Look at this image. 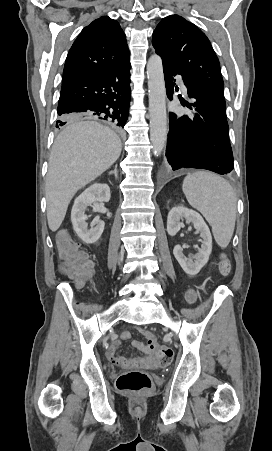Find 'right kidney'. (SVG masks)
Here are the masks:
<instances>
[{
    "label": "right kidney",
    "mask_w": 272,
    "mask_h": 451,
    "mask_svg": "<svg viewBox=\"0 0 272 451\" xmlns=\"http://www.w3.org/2000/svg\"><path fill=\"white\" fill-rule=\"evenodd\" d=\"M111 198L110 188L107 184H93L90 188H87L85 192H82L74 202V206L71 210V222L73 229H75L77 235L85 241V243H94L99 239L103 229L104 222L99 218H94L90 229H88V216L85 212L87 206L94 204V208H100L98 202H109Z\"/></svg>",
    "instance_id": "1"
}]
</instances>
